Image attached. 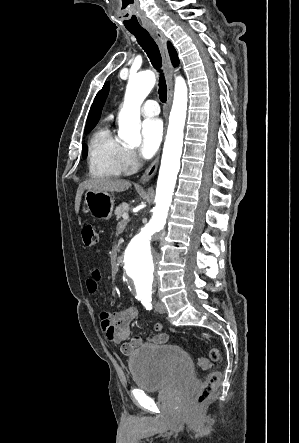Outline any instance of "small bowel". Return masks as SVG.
Returning a JSON list of instances; mask_svg holds the SVG:
<instances>
[{"label":"small bowel","mask_w":299,"mask_h":443,"mask_svg":"<svg viewBox=\"0 0 299 443\" xmlns=\"http://www.w3.org/2000/svg\"><path fill=\"white\" fill-rule=\"evenodd\" d=\"M100 281V270H92L85 284L87 292L95 294L99 289ZM136 317L137 310L132 306L125 307L113 313L107 311H101L99 313L101 328L106 338L113 344L123 343L121 350L124 354H129L143 345L163 344L168 341V334L162 332L164 326L161 323L154 325V330L158 332V334L145 339L140 336H131V323Z\"/></svg>","instance_id":"c3829d8e"}]
</instances>
